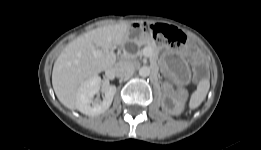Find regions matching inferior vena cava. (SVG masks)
I'll use <instances>...</instances> for the list:
<instances>
[{"label":"inferior vena cava","instance_id":"obj_1","mask_svg":"<svg viewBox=\"0 0 261 150\" xmlns=\"http://www.w3.org/2000/svg\"><path fill=\"white\" fill-rule=\"evenodd\" d=\"M134 71V65L127 61H119L114 66V72L118 77H129Z\"/></svg>","mask_w":261,"mask_h":150}]
</instances>
